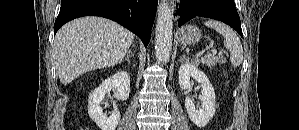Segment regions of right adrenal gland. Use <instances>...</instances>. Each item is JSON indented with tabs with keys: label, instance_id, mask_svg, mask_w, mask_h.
Masks as SVG:
<instances>
[{
	"label": "right adrenal gland",
	"instance_id": "2a0ac1e0",
	"mask_svg": "<svg viewBox=\"0 0 299 130\" xmlns=\"http://www.w3.org/2000/svg\"><path fill=\"white\" fill-rule=\"evenodd\" d=\"M125 61L128 62V64H131L130 63V54H127L126 57H125Z\"/></svg>",
	"mask_w": 299,
	"mask_h": 130
}]
</instances>
